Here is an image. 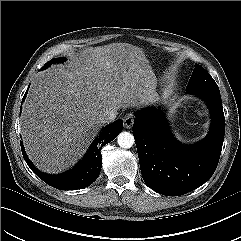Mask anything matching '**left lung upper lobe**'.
Here are the masks:
<instances>
[{"instance_id":"left-lung-upper-lobe-1","label":"left lung upper lobe","mask_w":241,"mask_h":241,"mask_svg":"<svg viewBox=\"0 0 241 241\" xmlns=\"http://www.w3.org/2000/svg\"><path fill=\"white\" fill-rule=\"evenodd\" d=\"M198 88L219 90L211 75L202 66L195 64V68L186 89L192 90Z\"/></svg>"}]
</instances>
